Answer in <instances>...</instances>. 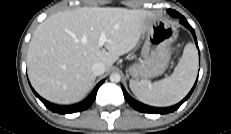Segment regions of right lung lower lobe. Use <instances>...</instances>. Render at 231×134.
Instances as JSON below:
<instances>
[{
    "mask_svg": "<svg viewBox=\"0 0 231 134\" xmlns=\"http://www.w3.org/2000/svg\"><path fill=\"white\" fill-rule=\"evenodd\" d=\"M103 82L104 81H101L97 84V86L94 88V90L92 91V93L90 94V96L87 99H85L84 101H82L78 104L70 105V106L54 105V104L49 103V102L45 101L44 99H42L34 90H33V92L43 102V104L47 108H49L51 111L58 112L60 114H68V113L83 111V110L89 108L91 106V104L94 102V100L96 98L97 90Z\"/></svg>",
    "mask_w": 231,
    "mask_h": 134,
    "instance_id": "98d812e1",
    "label": "right lung lower lobe"
}]
</instances>
